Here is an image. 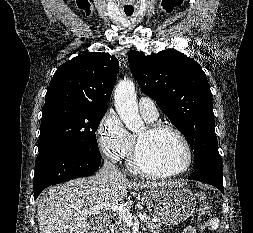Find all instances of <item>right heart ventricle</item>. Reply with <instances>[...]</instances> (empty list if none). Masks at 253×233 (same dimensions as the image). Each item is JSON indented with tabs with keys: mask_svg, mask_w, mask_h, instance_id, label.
I'll use <instances>...</instances> for the list:
<instances>
[{
	"mask_svg": "<svg viewBox=\"0 0 253 233\" xmlns=\"http://www.w3.org/2000/svg\"><path fill=\"white\" fill-rule=\"evenodd\" d=\"M145 118V117H144ZM145 120L148 122V123H152L154 122L155 119H148V118H145ZM134 143H135V137L133 135H131V145L125 155L126 157V161H127V164L128 166L131 168V169H134L133 165H132V152H133V148H134Z\"/></svg>",
	"mask_w": 253,
	"mask_h": 233,
	"instance_id": "right-heart-ventricle-1",
	"label": "right heart ventricle"
}]
</instances>
